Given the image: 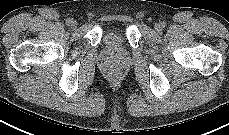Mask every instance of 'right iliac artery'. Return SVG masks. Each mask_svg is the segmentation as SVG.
<instances>
[{"mask_svg":"<svg viewBox=\"0 0 229 135\" xmlns=\"http://www.w3.org/2000/svg\"><path fill=\"white\" fill-rule=\"evenodd\" d=\"M71 21H72L71 19H67V20H66V24H67L68 26H70Z\"/></svg>","mask_w":229,"mask_h":135,"instance_id":"right-iliac-artery-1","label":"right iliac artery"}]
</instances>
